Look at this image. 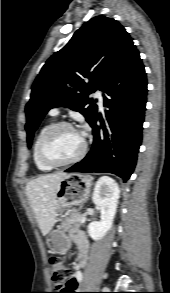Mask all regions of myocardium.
Instances as JSON below:
<instances>
[{
  "label": "myocardium",
  "mask_w": 170,
  "mask_h": 293,
  "mask_svg": "<svg viewBox=\"0 0 170 293\" xmlns=\"http://www.w3.org/2000/svg\"><path fill=\"white\" fill-rule=\"evenodd\" d=\"M61 128H70L72 130H75L77 132V130L75 129V127L69 123V122H65V121H61V122H56L53 125H51L41 136L40 140H39V144H38V149H37V153H38V157L40 159V161L42 163H44L45 165H48L50 167H62V166H66L72 163L77 162L78 160H80L87 151V142L86 140L82 137L83 140V146L82 149L80 150V152L75 155L74 157L65 160V161H55L53 159H50L45 152V146L46 143L48 141V139L59 129Z\"/></svg>",
  "instance_id": "f54148a6"
}]
</instances>
